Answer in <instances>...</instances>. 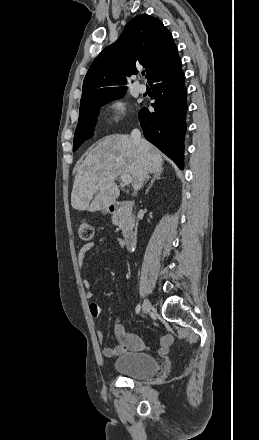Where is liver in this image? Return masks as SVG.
<instances>
[{"label": "liver", "instance_id": "obj_1", "mask_svg": "<svg viewBox=\"0 0 259 440\" xmlns=\"http://www.w3.org/2000/svg\"><path fill=\"white\" fill-rule=\"evenodd\" d=\"M162 165V153L145 139L139 146L128 135L105 137L81 163L73 183L71 205L78 211L104 210L119 197L115 183L118 176L130 175L132 187L138 191L144 171L156 173Z\"/></svg>", "mask_w": 259, "mask_h": 440}]
</instances>
